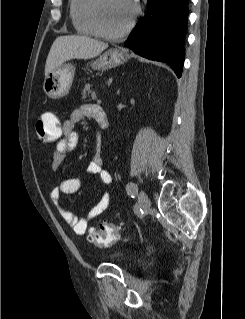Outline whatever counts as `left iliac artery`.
<instances>
[{
    "mask_svg": "<svg viewBox=\"0 0 245 319\" xmlns=\"http://www.w3.org/2000/svg\"><path fill=\"white\" fill-rule=\"evenodd\" d=\"M126 191L129 196L134 198L135 194L137 193V185L133 182L128 183L126 186Z\"/></svg>",
    "mask_w": 245,
    "mask_h": 319,
    "instance_id": "obj_1",
    "label": "left iliac artery"
}]
</instances>
